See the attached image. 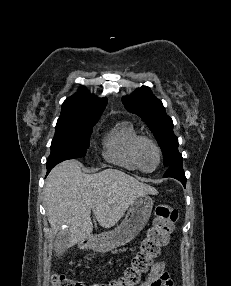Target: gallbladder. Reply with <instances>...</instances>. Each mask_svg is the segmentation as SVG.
I'll list each match as a JSON object with an SVG mask.
<instances>
[{
    "label": "gallbladder",
    "instance_id": "gallbladder-1",
    "mask_svg": "<svg viewBox=\"0 0 231 286\" xmlns=\"http://www.w3.org/2000/svg\"><path fill=\"white\" fill-rule=\"evenodd\" d=\"M60 227V236H65V234H67V229H68V224L67 223H60L59 225ZM68 241H66L65 238H58L57 240H55V246L54 249H55V253H62L64 252V250L62 249H66V248H63V247H66L64 243H67ZM62 255H65V254H55L54 256H62ZM56 258H63V257H56Z\"/></svg>",
    "mask_w": 231,
    "mask_h": 286
}]
</instances>
